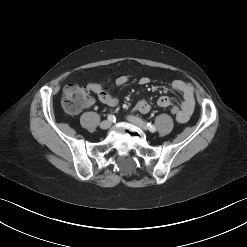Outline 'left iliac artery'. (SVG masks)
Wrapping results in <instances>:
<instances>
[{
	"label": "left iliac artery",
	"instance_id": "obj_1",
	"mask_svg": "<svg viewBox=\"0 0 247 247\" xmlns=\"http://www.w3.org/2000/svg\"><path fill=\"white\" fill-rule=\"evenodd\" d=\"M147 127H148L149 131H151V132H155L156 131L155 126L153 124H151V123H147Z\"/></svg>",
	"mask_w": 247,
	"mask_h": 247
}]
</instances>
